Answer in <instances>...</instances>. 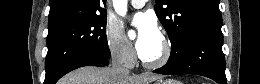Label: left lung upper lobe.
I'll list each match as a JSON object with an SVG mask.
<instances>
[{
	"mask_svg": "<svg viewBox=\"0 0 260 84\" xmlns=\"http://www.w3.org/2000/svg\"><path fill=\"white\" fill-rule=\"evenodd\" d=\"M155 12L171 42V56H177L184 42L194 33L221 29L220 0H155Z\"/></svg>",
	"mask_w": 260,
	"mask_h": 84,
	"instance_id": "1",
	"label": "left lung upper lobe"
}]
</instances>
